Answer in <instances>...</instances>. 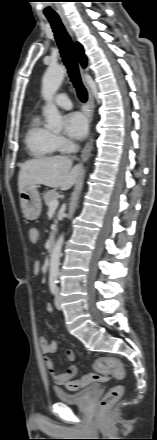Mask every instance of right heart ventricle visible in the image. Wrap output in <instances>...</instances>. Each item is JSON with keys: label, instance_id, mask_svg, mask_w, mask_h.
Segmentation results:
<instances>
[{"label": "right heart ventricle", "instance_id": "1", "mask_svg": "<svg viewBox=\"0 0 157 440\" xmlns=\"http://www.w3.org/2000/svg\"><path fill=\"white\" fill-rule=\"evenodd\" d=\"M25 145L33 157H44L55 152L53 134L40 123L38 114H34L25 133Z\"/></svg>", "mask_w": 157, "mask_h": 440}]
</instances>
